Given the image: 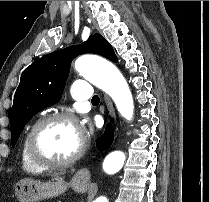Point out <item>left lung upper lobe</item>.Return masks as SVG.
<instances>
[{"instance_id":"1","label":"left lung upper lobe","mask_w":209,"mask_h":202,"mask_svg":"<svg viewBox=\"0 0 209 202\" xmlns=\"http://www.w3.org/2000/svg\"><path fill=\"white\" fill-rule=\"evenodd\" d=\"M84 53L99 54L117 62L110 43L100 34H94L80 45L70 46L37 59L23 71L11 110L12 147L15 146L25 124L36 113L61 99L71 62Z\"/></svg>"}]
</instances>
